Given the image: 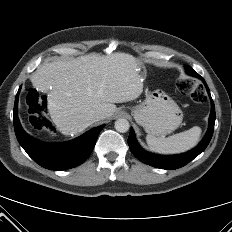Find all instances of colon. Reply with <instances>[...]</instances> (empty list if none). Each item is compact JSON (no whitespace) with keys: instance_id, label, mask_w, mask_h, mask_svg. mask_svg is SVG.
<instances>
[{"instance_id":"obj_1","label":"colon","mask_w":232,"mask_h":232,"mask_svg":"<svg viewBox=\"0 0 232 232\" xmlns=\"http://www.w3.org/2000/svg\"><path fill=\"white\" fill-rule=\"evenodd\" d=\"M178 89L191 97L196 103L205 101V92L201 85L189 78H180L177 83ZM26 104L29 112V122L36 130H48L46 117L47 101L37 90L31 88L26 94Z\"/></svg>"}]
</instances>
